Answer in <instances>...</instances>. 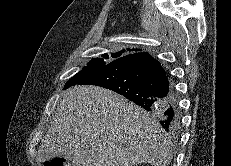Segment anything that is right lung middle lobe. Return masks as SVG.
Listing matches in <instances>:
<instances>
[{"label": "right lung middle lobe", "mask_w": 231, "mask_h": 166, "mask_svg": "<svg viewBox=\"0 0 231 166\" xmlns=\"http://www.w3.org/2000/svg\"><path fill=\"white\" fill-rule=\"evenodd\" d=\"M112 58L116 56L112 55ZM110 63L109 56L107 54L102 55V58L92 59L87 66H85L81 71L75 74L64 86V89H67L73 85H76L91 76L92 74L101 70L104 66Z\"/></svg>", "instance_id": "dd1d6c3e"}]
</instances>
